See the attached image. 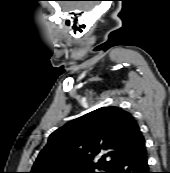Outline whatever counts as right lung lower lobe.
Wrapping results in <instances>:
<instances>
[{"label":"right lung lower lobe","instance_id":"1","mask_svg":"<svg viewBox=\"0 0 170 173\" xmlns=\"http://www.w3.org/2000/svg\"><path fill=\"white\" fill-rule=\"evenodd\" d=\"M105 173H150L145 144L110 164Z\"/></svg>","mask_w":170,"mask_h":173}]
</instances>
